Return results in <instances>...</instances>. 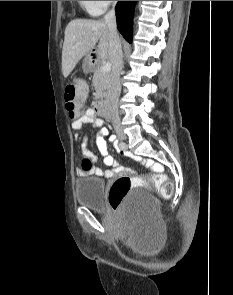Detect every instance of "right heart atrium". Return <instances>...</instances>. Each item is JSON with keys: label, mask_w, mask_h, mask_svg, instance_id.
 Masks as SVG:
<instances>
[{"label": "right heart atrium", "mask_w": 233, "mask_h": 295, "mask_svg": "<svg viewBox=\"0 0 233 295\" xmlns=\"http://www.w3.org/2000/svg\"><path fill=\"white\" fill-rule=\"evenodd\" d=\"M115 1H89L91 12L94 15L101 14L104 12L108 6H110Z\"/></svg>", "instance_id": "1"}]
</instances>
